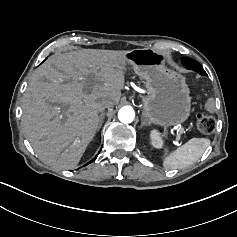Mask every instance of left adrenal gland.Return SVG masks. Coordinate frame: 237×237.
Segmentation results:
<instances>
[{
  "label": "left adrenal gland",
  "mask_w": 237,
  "mask_h": 237,
  "mask_svg": "<svg viewBox=\"0 0 237 237\" xmlns=\"http://www.w3.org/2000/svg\"><path fill=\"white\" fill-rule=\"evenodd\" d=\"M145 124H147V118L142 117L141 118V127H143Z\"/></svg>",
  "instance_id": "obj_1"
}]
</instances>
